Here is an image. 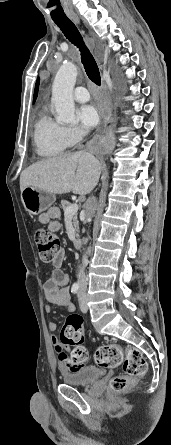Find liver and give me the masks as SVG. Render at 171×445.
I'll use <instances>...</instances> for the list:
<instances>
[{"instance_id":"1","label":"liver","mask_w":171,"mask_h":445,"mask_svg":"<svg viewBox=\"0 0 171 445\" xmlns=\"http://www.w3.org/2000/svg\"><path fill=\"white\" fill-rule=\"evenodd\" d=\"M100 162L90 153H66L32 164L20 176V190L27 186L49 194L85 195L97 185Z\"/></svg>"}]
</instances>
